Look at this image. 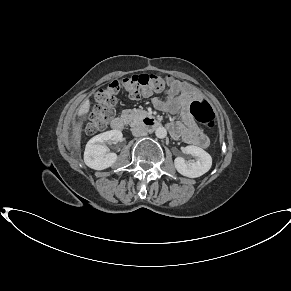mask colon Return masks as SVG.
Listing matches in <instances>:
<instances>
[{
    "mask_svg": "<svg viewBox=\"0 0 291 291\" xmlns=\"http://www.w3.org/2000/svg\"><path fill=\"white\" fill-rule=\"evenodd\" d=\"M171 84L169 77L157 74H134L120 80H114L101 89L96 96V105L89 113L87 131L94 133L106 128L115 114L117 95L121 88L125 89L131 98L151 96L163 92ZM191 114L206 128L215 126V114L206 101L195 100L190 106Z\"/></svg>",
    "mask_w": 291,
    "mask_h": 291,
    "instance_id": "obj_1",
    "label": "colon"
}]
</instances>
